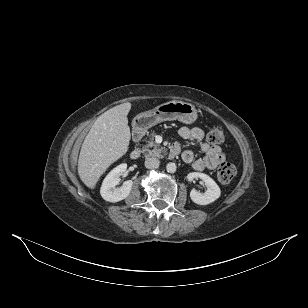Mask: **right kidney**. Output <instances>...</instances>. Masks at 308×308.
I'll return each instance as SVG.
<instances>
[{
  "mask_svg": "<svg viewBox=\"0 0 308 308\" xmlns=\"http://www.w3.org/2000/svg\"><path fill=\"white\" fill-rule=\"evenodd\" d=\"M127 164H120L114 168L104 179L100 194L106 201L115 203L128 197L131 192L133 181H125L120 188L116 185L120 182V175L126 171Z\"/></svg>",
  "mask_w": 308,
  "mask_h": 308,
  "instance_id": "1",
  "label": "right kidney"
}]
</instances>
